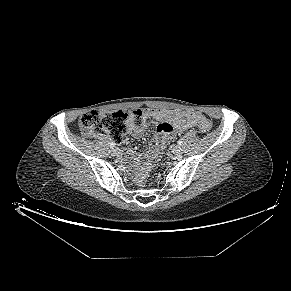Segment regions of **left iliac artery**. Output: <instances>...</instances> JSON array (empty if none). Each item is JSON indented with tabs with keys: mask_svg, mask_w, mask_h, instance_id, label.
Wrapping results in <instances>:
<instances>
[{
	"mask_svg": "<svg viewBox=\"0 0 291 291\" xmlns=\"http://www.w3.org/2000/svg\"><path fill=\"white\" fill-rule=\"evenodd\" d=\"M177 143H178V145H182L183 144V141L182 140H179Z\"/></svg>",
	"mask_w": 291,
	"mask_h": 291,
	"instance_id": "obj_1",
	"label": "left iliac artery"
}]
</instances>
